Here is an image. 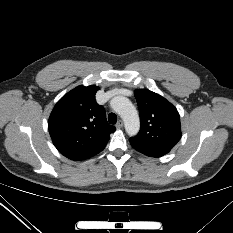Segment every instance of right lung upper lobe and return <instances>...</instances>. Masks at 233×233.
Segmentation results:
<instances>
[{
    "mask_svg": "<svg viewBox=\"0 0 233 233\" xmlns=\"http://www.w3.org/2000/svg\"><path fill=\"white\" fill-rule=\"evenodd\" d=\"M99 88L78 86L64 95L49 117L53 144L65 157L79 161L101 152L115 131L106 121L105 110L95 94Z\"/></svg>",
    "mask_w": 233,
    "mask_h": 233,
    "instance_id": "right-lung-upper-lobe-1",
    "label": "right lung upper lobe"
}]
</instances>
